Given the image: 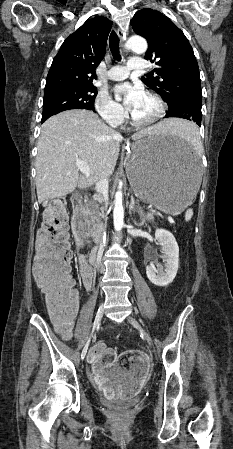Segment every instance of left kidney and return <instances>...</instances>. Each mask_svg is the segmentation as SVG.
<instances>
[{
  "mask_svg": "<svg viewBox=\"0 0 233 449\" xmlns=\"http://www.w3.org/2000/svg\"><path fill=\"white\" fill-rule=\"evenodd\" d=\"M155 239L158 241L161 246L162 253L164 254V271H154L153 268L147 266L146 274L150 282L154 285L165 287L174 280L177 274L179 264V247L175 237L168 230L157 229L155 231Z\"/></svg>",
  "mask_w": 233,
  "mask_h": 449,
  "instance_id": "obj_1",
  "label": "left kidney"
}]
</instances>
